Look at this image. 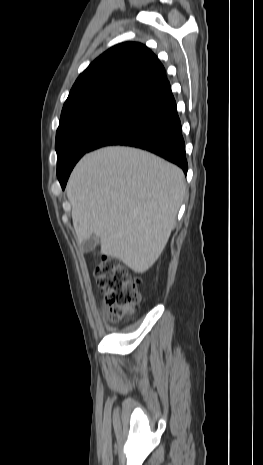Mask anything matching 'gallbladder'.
Returning <instances> with one entry per match:
<instances>
[{"mask_svg":"<svg viewBox=\"0 0 263 465\" xmlns=\"http://www.w3.org/2000/svg\"><path fill=\"white\" fill-rule=\"evenodd\" d=\"M98 243L99 238L95 235H92L81 243V249L85 253L91 252L92 250H94Z\"/></svg>","mask_w":263,"mask_h":465,"instance_id":"gallbladder-1","label":"gallbladder"}]
</instances>
